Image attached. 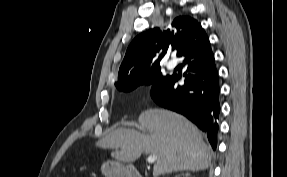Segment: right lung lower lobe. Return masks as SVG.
I'll return each mask as SVG.
<instances>
[{
    "label": "right lung lower lobe",
    "mask_w": 287,
    "mask_h": 177,
    "mask_svg": "<svg viewBox=\"0 0 287 177\" xmlns=\"http://www.w3.org/2000/svg\"><path fill=\"white\" fill-rule=\"evenodd\" d=\"M178 57L184 58L187 72L180 86L177 74L151 88L153 100L160 106L183 114L208 137L213 149L217 146L219 105L218 72L206 33L201 31L182 48Z\"/></svg>",
    "instance_id": "obj_1"
}]
</instances>
